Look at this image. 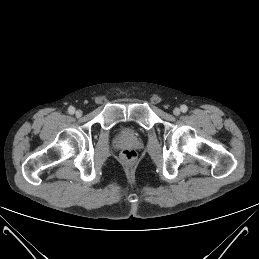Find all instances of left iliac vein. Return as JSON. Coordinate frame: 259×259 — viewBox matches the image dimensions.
Masks as SVG:
<instances>
[{
    "instance_id": "obj_1",
    "label": "left iliac vein",
    "mask_w": 259,
    "mask_h": 259,
    "mask_svg": "<svg viewBox=\"0 0 259 259\" xmlns=\"http://www.w3.org/2000/svg\"><path fill=\"white\" fill-rule=\"evenodd\" d=\"M180 109L179 108H175L174 110H173V114L174 115H176V116H178L179 114H180Z\"/></svg>"
}]
</instances>
